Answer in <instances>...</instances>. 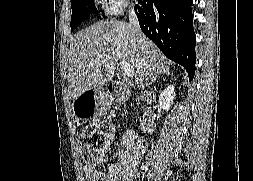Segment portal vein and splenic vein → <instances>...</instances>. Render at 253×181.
<instances>
[{
  "label": "portal vein and splenic vein",
  "mask_w": 253,
  "mask_h": 181,
  "mask_svg": "<svg viewBox=\"0 0 253 181\" xmlns=\"http://www.w3.org/2000/svg\"><path fill=\"white\" fill-rule=\"evenodd\" d=\"M120 66L124 72V74L128 77H133L134 76V67L127 61L122 60L120 61Z\"/></svg>",
  "instance_id": "1"
}]
</instances>
